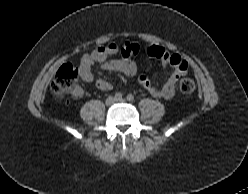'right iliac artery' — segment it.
Returning a JSON list of instances; mask_svg holds the SVG:
<instances>
[{"mask_svg":"<svg viewBox=\"0 0 248 194\" xmlns=\"http://www.w3.org/2000/svg\"><path fill=\"white\" fill-rule=\"evenodd\" d=\"M114 98L116 100H120V99H122V94L120 92H117V93H115Z\"/></svg>","mask_w":248,"mask_h":194,"instance_id":"obj_1","label":"right iliac artery"}]
</instances>
